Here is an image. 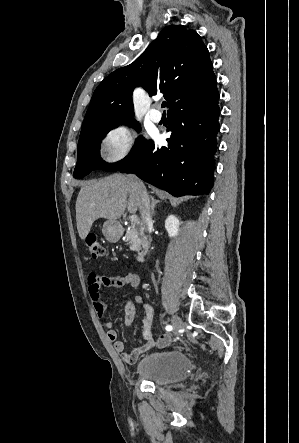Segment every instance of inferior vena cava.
<instances>
[{"label":"inferior vena cava","mask_w":299,"mask_h":443,"mask_svg":"<svg viewBox=\"0 0 299 443\" xmlns=\"http://www.w3.org/2000/svg\"><path fill=\"white\" fill-rule=\"evenodd\" d=\"M134 177V176H133ZM135 180L132 182L133 190L135 191L139 200V211L141 218L146 226L152 223V211L150 205V198L144 184L134 177Z\"/></svg>","instance_id":"inferior-vena-cava-1"}]
</instances>
